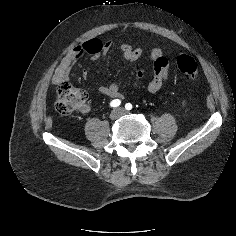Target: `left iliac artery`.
Returning <instances> with one entry per match:
<instances>
[{
  "label": "left iliac artery",
  "mask_w": 236,
  "mask_h": 236,
  "mask_svg": "<svg viewBox=\"0 0 236 236\" xmlns=\"http://www.w3.org/2000/svg\"><path fill=\"white\" fill-rule=\"evenodd\" d=\"M125 108H126L127 110H131V109H132V104H131V103H126V104H125Z\"/></svg>",
  "instance_id": "obj_1"
}]
</instances>
